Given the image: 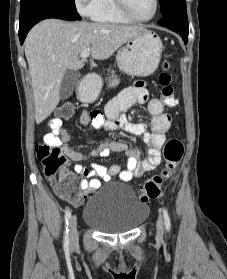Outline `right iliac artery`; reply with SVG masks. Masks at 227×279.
Instances as JSON below:
<instances>
[{
	"mask_svg": "<svg viewBox=\"0 0 227 279\" xmlns=\"http://www.w3.org/2000/svg\"><path fill=\"white\" fill-rule=\"evenodd\" d=\"M71 217V212L68 210L65 213V225H66V230H65V234H64V248L67 249L69 247V229H68V225H69V219Z\"/></svg>",
	"mask_w": 227,
	"mask_h": 279,
	"instance_id": "right-iliac-artery-1",
	"label": "right iliac artery"
}]
</instances>
